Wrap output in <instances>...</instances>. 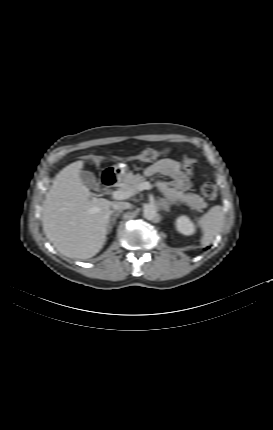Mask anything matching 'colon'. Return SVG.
I'll list each match as a JSON object with an SVG mask.
<instances>
[{
	"label": "colon",
	"mask_w": 273,
	"mask_h": 430,
	"mask_svg": "<svg viewBox=\"0 0 273 430\" xmlns=\"http://www.w3.org/2000/svg\"><path fill=\"white\" fill-rule=\"evenodd\" d=\"M159 155H160L159 151L148 148V149H145V150L141 151L140 153H138L134 156L129 157L128 160L151 162V161H154ZM86 160L89 163H101L102 161L105 160V158L102 156L92 155V156H88ZM184 164L189 169V168L197 165V160L193 159V158L185 159ZM200 190H201L202 195L206 199L213 200L217 196V187L213 182L207 181V182L202 183Z\"/></svg>",
	"instance_id": "colon-1"
}]
</instances>
